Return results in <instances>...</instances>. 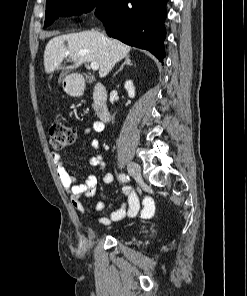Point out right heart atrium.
Instances as JSON below:
<instances>
[{
    "instance_id": "right-heart-atrium-1",
    "label": "right heart atrium",
    "mask_w": 247,
    "mask_h": 296,
    "mask_svg": "<svg viewBox=\"0 0 247 296\" xmlns=\"http://www.w3.org/2000/svg\"><path fill=\"white\" fill-rule=\"evenodd\" d=\"M96 2V0H77L75 3V15L79 18L87 17L93 12Z\"/></svg>"
}]
</instances>
